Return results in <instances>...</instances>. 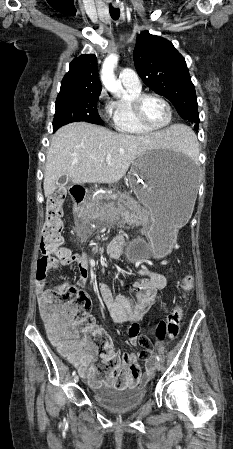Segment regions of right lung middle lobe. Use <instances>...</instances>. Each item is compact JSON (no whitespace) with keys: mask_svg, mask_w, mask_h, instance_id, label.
Returning a JSON list of instances; mask_svg holds the SVG:
<instances>
[{"mask_svg":"<svg viewBox=\"0 0 233 449\" xmlns=\"http://www.w3.org/2000/svg\"><path fill=\"white\" fill-rule=\"evenodd\" d=\"M100 93L58 95L53 129L75 121L103 124L97 111Z\"/></svg>","mask_w":233,"mask_h":449,"instance_id":"obj_1","label":"right lung middle lobe"}]
</instances>
